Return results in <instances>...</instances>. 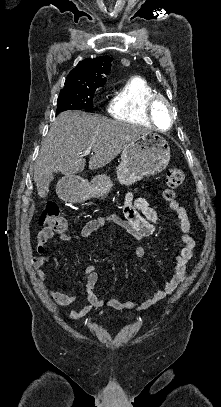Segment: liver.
<instances>
[{"label": "liver", "mask_w": 221, "mask_h": 407, "mask_svg": "<svg viewBox=\"0 0 221 407\" xmlns=\"http://www.w3.org/2000/svg\"><path fill=\"white\" fill-rule=\"evenodd\" d=\"M148 132L140 126L114 121L82 111L60 113L50 126L34 166V181L62 173L66 176L84 170L82 151L90 149V170L102 168L139 135Z\"/></svg>", "instance_id": "1"}]
</instances>
